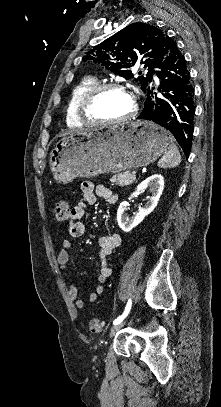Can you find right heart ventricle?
I'll list each match as a JSON object with an SVG mask.
<instances>
[{
  "label": "right heart ventricle",
  "mask_w": 221,
  "mask_h": 407,
  "mask_svg": "<svg viewBox=\"0 0 221 407\" xmlns=\"http://www.w3.org/2000/svg\"><path fill=\"white\" fill-rule=\"evenodd\" d=\"M96 85L97 82L94 78H84L73 86L65 106L66 123L68 125L81 126L84 124L78 110V104L81 97Z\"/></svg>",
  "instance_id": "e07e8e85"
}]
</instances>
